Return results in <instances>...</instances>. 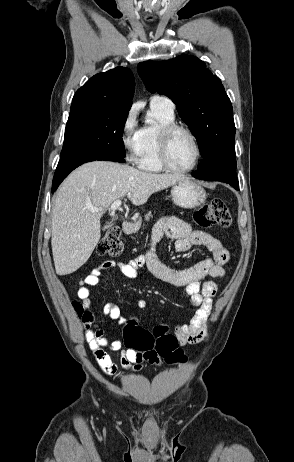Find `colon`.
Segmentation results:
<instances>
[{
  "mask_svg": "<svg viewBox=\"0 0 294 462\" xmlns=\"http://www.w3.org/2000/svg\"><path fill=\"white\" fill-rule=\"evenodd\" d=\"M196 225L209 228L212 226L228 227L231 215L228 207L221 199H213L203 204L193 215ZM123 251L120 231L116 226L110 227L97 246L99 255L119 256ZM78 314H82L80 302L73 303ZM123 337L128 348L143 352L150 363L164 361L168 364L183 363L186 356L179 347L177 338L170 334L164 326H156L152 332L143 329L135 322H129L123 330Z\"/></svg>",
  "mask_w": 294,
  "mask_h": 462,
  "instance_id": "colon-1",
  "label": "colon"
}]
</instances>
